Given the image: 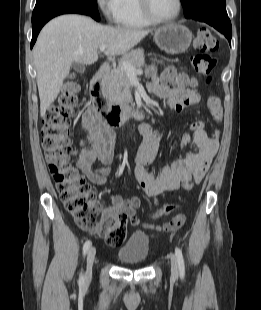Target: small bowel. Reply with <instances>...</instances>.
Masks as SVG:
<instances>
[{
  "label": "small bowel",
  "instance_id": "obj_1",
  "mask_svg": "<svg viewBox=\"0 0 261 310\" xmlns=\"http://www.w3.org/2000/svg\"><path fill=\"white\" fill-rule=\"evenodd\" d=\"M148 89L167 100L170 108L175 110L197 105L201 101L200 93L195 85L168 86L161 83L158 76L148 84ZM89 111L90 108L83 115L82 130L86 136L81 141L77 167L90 182L102 185L106 183L112 171L114 137L110 131L99 132L92 127L87 119ZM140 130L143 141L137 150L134 174L139 187L148 197H156L163 192L176 190L181 185L183 186L186 180L200 182L219 147L218 137H209L203 124L195 122L191 125L192 134L183 135L182 144L188 145L192 141L197 150L174 161L170 166H163L158 173H153L146 169V165L157 156L164 128L143 124ZM110 199L112 206L104 210L103 216L124 213L128 216L132 226L140 225L136 214V208L141 203L138 196L122 198L119 195H111Z\"/></svg>",
  "mask_w": 261,
  "mask_h": 310
}]
</instances>
